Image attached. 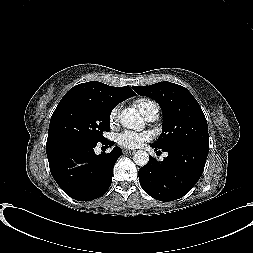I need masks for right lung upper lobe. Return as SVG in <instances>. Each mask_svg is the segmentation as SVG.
<instances>
[{"label": "right lung upper lobe", "instance_id": "cb5924a9", "mask_svg": "<svg viewBox=\"0 0 253 253\" xmlns=\"http://www.w3.org/2000/svg\"><path fill=\"white\" fill-rule=\"evenodd\" d=\"M136 95L129 87H112L101 82L81 83L71 88L63 97H81L103 102L115 107L120 102Z\"/></svg>", "mask_w": 253, "mask_h": 253}]
</instances>
